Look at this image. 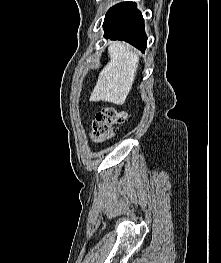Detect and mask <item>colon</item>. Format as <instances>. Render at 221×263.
<instances>
[{"instance_id":"1","label":"colon","mask_w":221,"mask_h":263,"mask_svg":"<svg viewBox=\"0 0 221 263\" xmlns=\"http://www.w3.org/2000/svg\"><path fill=\"white\" fill-rule=\"evenodd\" d=\"M125 113L118 112L112 107L102 108L95 116L92 125V136L95 142L108 140L113 134V127L125 119Z\"/></svg>"}]
</instances>
